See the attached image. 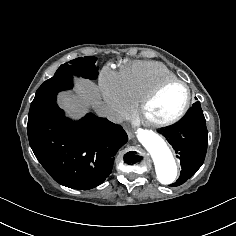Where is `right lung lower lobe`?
I'll return each mask as SVG.
<instances>
[{
    "label": "right lung lower lobe",
    "instance_id": "1",
    "mask_svg": "<svg viewBox=\"0 0 236 236\" xmlns=\"http://www.w3.org/2000/svg\"><path fill=\"white\" fill-rule=\"evenodd\" d=\"M27 132L36 158L50 176L81 190L108 177L115 154L128 140L120 125L92 113L76 122L65 118L56 94L31 103Z\"/></svg>",
    "mask_w": 236,
    "mask_h": 236
}]
</instances>
